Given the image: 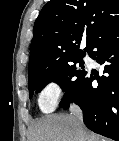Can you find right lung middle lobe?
<instances>
[{
    "label": "right lung middle lobe",
    "mask_w": 119,
    "mask_h": 141,
    "mask_svg": "<svg viewBox=\"0 0 119 141\" xmlns=\"http://www.w3.org/2000/svg\"><path fill=\"white\" fill-rule=\"evenodd\" d=\"M82 57L74 58L69 63L60 67L42 70L28 75L29 97L31 98L34 92H40L45 85L53 81L59 84L65 92L60 106L66 104L86 73ZM72 63H79L80 68H77Z\"/></svg>",
    "instance_id": "right-lung-middle-lobe-1"
}]
</instances>
